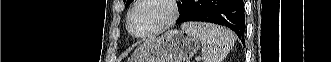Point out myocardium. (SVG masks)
Wrapping results in <instances>:
<instances>
[{"label":"myocardium","instance_id":"myocardium-1","mask_svg":"<svg viewBox=\"0 0 331 62\" xmlns=\"http://www.w3.org/2000/svg\"><path fill=\"white\" fill-rule=\"evenodd\" d=\"M148 1H151V0H137L127 14V24H126L127 29L129 31V33L136 38H148V37H151L153 35H156L162 31L166 30L177 20V18L179 16V8H178V4L175 0H160V1L164 2L170 10V14L168 15V17L159 26H157L145 33L136 34L133 32L132 26H131L132 15L141 4L148 2Z\"/></svg>","mask_w":331,"mask_h":62}]
</instances>
